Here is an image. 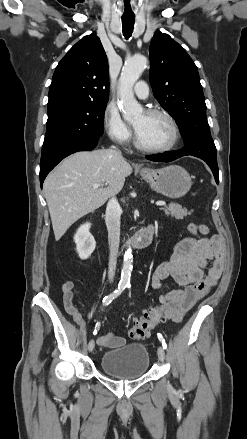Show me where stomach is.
I'll use <instances>...</instances> for the list:
<instances>
[{
    "mask_svg": "<svg viewBox=\"0 0 247 439\" xmlns=\"http://www.w3.org/2000/svg\"><path fill=\"white\" fill-rule=\"evenodd\" d=\"M140 175L157 192L169 198L183 197L192 185L189 173L178 165L159 169L144 168L140 170Z\"/></svg>",
    "mask_w": 247,
    "mask_h": 439,
    "instance_id": "stomach-1",
    "label": "stomach"
}]
</instances>
